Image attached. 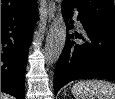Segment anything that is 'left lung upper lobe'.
<instances>
[{"label": "left lung upper lobe", "instance_id": "obj_1", "mask_svg": "<svg viewBox=\"0 0 115 99\" xmlns=\"http://www.w3.org/2000/svg\"><path fill=\"white\" fill-rule=\"evenodd\" d=\"M63 3L76 8L79 15L87 19L115 28L113 0H64Z\"/></svg>", "mask_w": 115, "mask_h": 99}]
</instances>
